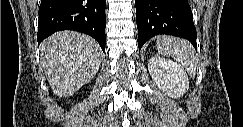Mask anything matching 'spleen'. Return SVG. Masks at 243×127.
Returning a JSON list of instances; mask_svg holds the SVG:
<instances>
[{"mask_svg":"<svg viewBox=\"0 0 243 127\" xmlns=\"http://www.w3.org/2000/svg\"><path fill=\"white\" fill-rule=\"evenodd\" d=\"M157 47L162 55L171 56L182 64L190 76H195L197 68L196 54L189 42L173 37H163L157 43Z\"/></svg>","mask_w":243,"mask_h":127,"instance_id":"1","label":"spleen"}]
</instances>
